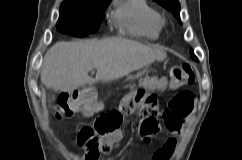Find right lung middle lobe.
<instances>
[{"label":"right lung middle lobe","instance_id":"dd1d6c3e","mask_svg":"<svg viewBox=\"0 0 242 160\" xmlns=\"http://www.w3.org/2000/svg\"><path fill=\"white\" fill-rule=\"evenodd\" d=\"M111 0H93L84 3L63 2L56 24L58 31L74 36H85L99 29L104 10Z\"/></svg>","mask_w":242,"mask_h":160}]
</instances>
